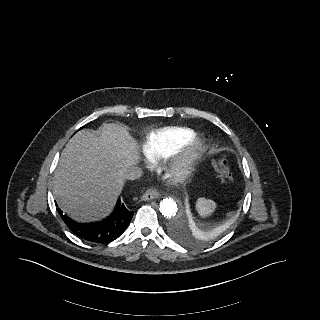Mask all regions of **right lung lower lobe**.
I'll list each match as a JSON object with an SVG mask.
<instances>
[{"label":"right lung lower lobe","instance_id":"1","mask_svg":"<svg viewBox=\"0 0 320 320\" xmlns=\"http://www.w3.org/2000/svg\"><path fill=\"white\" fill-rule=\"evenodd\" d=\"M57 210L64 223L74 234L95 243H109L117 239L126 230L133 216V212L129 211L120 199L109 218L96 223H77L64 215L60 209Z\"/></svg>","mask_w":320,"mask_h":320}]
</instances>
